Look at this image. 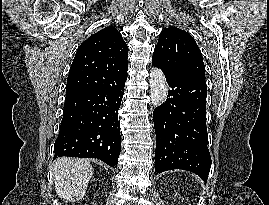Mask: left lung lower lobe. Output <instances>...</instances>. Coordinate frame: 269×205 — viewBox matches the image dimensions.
Masks as SVG:
<instances>
[{"instance_id": "left-lung-lower-lobe-1", "label": "left lung lower lobe", "mask_w": 269, "mask_h": 205, "mask_svg": "<svg viewBox=\"0 0 269 205\" xmlns=\"http://www.w3.org/2000/svg\"><path fill=\"white\" fill-rule=\"evenodd\" d=\"M154 67L160 68L152 61ZM170 90L166 102L155 108V172L191 171L207 180L211 157L207 147L205 79L164 73Z\"/></svg>"}]
</instances>
